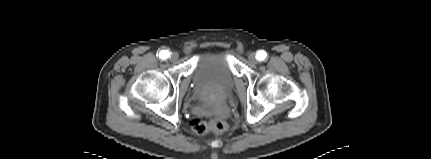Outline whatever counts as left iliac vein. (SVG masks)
<instances>
[{
	"instance_id": "left-iliac-vein-1",
	"label": "left iliac vein",
	"mask_w": 431,
	"mask_h": 159,
	"mask_svg": "<svg viewBox=\"0 0 431 159\" xmlns=\"http://www.w3.org/2000/svg\"><path fill=\"white\" fill-rule=\"evenodd\" d=\"M248 59L253 64L257 63V58H256V54L255 53H250L249 56H248Z\"/></svg>"
}]
</instances>
